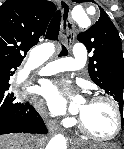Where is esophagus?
Segmentation results:
<instances>
[{
    "label": "esophagus",
    "instance_id": "1",
    "mask_svg": "<svg viewBox=\"0 0 124 149\" xmlns=\"http://www.w3.org/2000/svg\"><path fill=\"white\" fill-rule=\"evenodd\" d=\"M58 5L62 12L60 36L64 45L70 46L75 40L74 24L70 19L71 6L67 0H59ZM48 126L52 133L58 129V126L54 122H49Z\"/></svg>",
    "mask_w": 124,
    "mask_h": 149
}]
</instances>
